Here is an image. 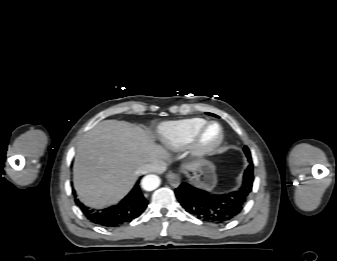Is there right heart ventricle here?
<instances>
[{"label":"right heart ventricle","instance_id":"obj_1","mask_svg":"<svg viewBox=\"0 0 337 261\" xmlns=\"http://www.w3.org/2000/svg\"><path fill=\"white\" fill-rule=\"evenodd\" d=\"M203 118H187L162 123L158 128L161 142L171 150H181L189 145L195 132L204 124Z\"/></svg>","mask_w":337,"mask_h":261}]
</instances>
